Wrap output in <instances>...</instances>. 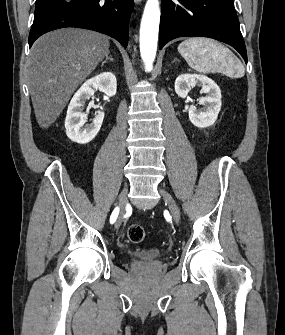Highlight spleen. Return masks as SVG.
<instances>
[{
    "mask_svg": "<svg viewBox=\"0 0 285 335\" xmlns=\"http://www.w3.org/2000/svg\"><path fill=\"white\" fill-rule=\"evenodd\" d=\"M177 50L182 58H185L188 66L201 74L225 68H235L240 76L245 74L244 66L234 54L211 38H188L178 46Z\"/></svg>",
    "mask_w": 285,
    "mask_h": 335,
    "instance_id": "1",
    "label": "spleen"
}]
</instances>
